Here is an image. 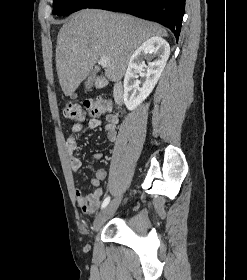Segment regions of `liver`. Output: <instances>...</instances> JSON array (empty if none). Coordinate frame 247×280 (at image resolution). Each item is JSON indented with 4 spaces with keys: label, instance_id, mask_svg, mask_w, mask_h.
I'll list each match as a JSON object with an SVG mask.
<instances>
[{
    "label": "liver",
    "instance_id": "1",
    "mask_svg": "<svg viewBox=\"0 0 247 280\" xmlns=\"http://www.w3.org/2000/svg\"><path fill=\"white\" fill-rule=\"evenodd\" d=\"M153 36H168L160 25L130 15L97 9L73 14L57 37L56 71L62 91L71 98L97 61L109 58L105 75L118 82L132 53Z\"/></svg>",
    "mask_w": 247,
    "mask_h": 280
}]
</instances>
